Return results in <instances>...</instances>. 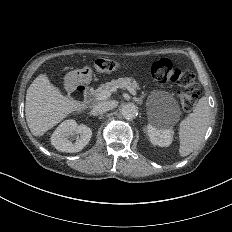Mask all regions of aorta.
I'll use <instances>...</instances> for the list:
<instances>
[{"label": "aorta", "mask_w": 232, "mask_h": 232, "mask_svg": "<svg viewBox=\"0 0 232 232\" xmlns=\"http://www.w3.org/2000/svg\"><path fill=\"white\" fill-rule=\"evenodd\" d=\"M122 115L127 119H133L138 115V108L133 103H126L121 107Z\"/></svg>", "instance_id": "762f6f07"}]
</instances>
